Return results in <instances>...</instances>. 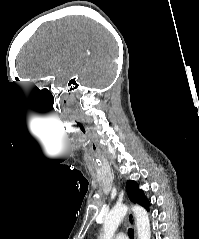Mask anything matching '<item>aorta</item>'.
<instances>
[{"label":"aorta","instance_id":"1","mask_svg":"<svg viewBox=\"0 0 199 239\" xmlns=\"http://www.w3.org/2000/svg\"><path fill=\"white\" fill-rule=\"evenodd\" d=\"M132 210L136 217V225L138 231V239H150V221L148 213L141 206H133ZM128 211L126 205L117 204L106 215L103 223V237L102 239H113L115 232Z\"/></svg>","mask_w":199,"mask_h":239}]
</instances>
